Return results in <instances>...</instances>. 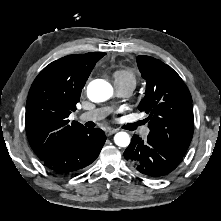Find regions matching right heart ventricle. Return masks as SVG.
Here are the masks:
<instances>
[{
    "mask_svg": "<svg viewBox=\"0 0 221 221\" xmlns=\"http://www.w3.org/2000/svg\"><path fill=\"white\" fill-rule=\"evenodd\" d=\"M115 86H129L133 89L137 84L135 73L131 69L123 68L117 69L113 73Z\"/></svg>",
    "mask_w": 221,
    "mask_h": 221,
    "instance_id": "obj_1",
    "label": "right heart ventricle"
}]
</instances>
